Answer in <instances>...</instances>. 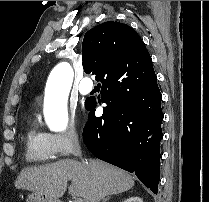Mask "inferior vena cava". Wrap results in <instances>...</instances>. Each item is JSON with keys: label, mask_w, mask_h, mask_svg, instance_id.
Listing matches in <instances>:
<instances>
[{"label": "inferior vena cava", "mask_w": 209, "mask_h": 202, "mask_svg": "<svg viewBox=\"0 0 209 202\" xmlns=\"http://www.w3.org/2000/svg\"><path fill=\"white\" fill-rule=\"evenodd\" d=\"M74 155L77 156V157H81V149H80V146L77 145L74 149Z\"/></svg>", "instance_id": "inferior-vena-cava-1"}]
</instances>
